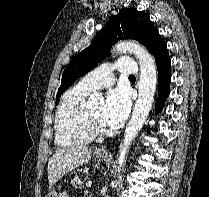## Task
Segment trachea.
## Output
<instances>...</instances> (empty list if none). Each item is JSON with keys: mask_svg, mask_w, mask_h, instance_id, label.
Instances as JSON below:
<instances>
[{"mask_svg": "<svg viewBox=\"0 0 209 197\" xmlns=\"http://www.w3.org/2000/svg\"><path fill=\"white\" fill-rule=\"evenodd\" d=\"M129 78H135V76L134 75H130Z\"/></svg>", "mask_w": 209, "mask_h": 197, "instance_id": "3493384b", "label": "trachea"}]
</instances>
